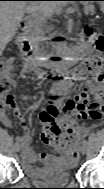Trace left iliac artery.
Returning a JSON list of instances; mask_svg holds the SVG:
<instances>
[{
	"label": "left iliac artery",
	"mask_w": 104,
	"mask_h": 189,
	"mask_svg": "<svg viewBox=\"0 0 104 189\" xmlns=\"http://www.w3.org/2000/svg\"><path fill=\"white\" fill-rule=\"evenodd\" d=\"M82 145H83V148H86L87 141L83 140V141H82Z\"/></svg>",
	"instance_id": "1"
}]
</instances>
